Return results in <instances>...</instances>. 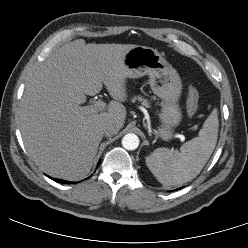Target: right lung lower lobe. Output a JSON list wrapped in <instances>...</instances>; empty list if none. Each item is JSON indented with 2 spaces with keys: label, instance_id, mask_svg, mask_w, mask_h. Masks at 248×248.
<instances>
[{
  "label": "right lung lower lobe",
  "instance_id": "obj_1",
  "mask_svg": "<svg viewBox=\"0 0 248 248\" xmlns=\"http://www.w3.org/2000/svg\"><path fill=\"white\" fill-rule=\"evenodd\" d=\"M99 163H100V161H99ZM99 163H98V165H99ZM50 178H51V177H50ZM51 179H53V180L56 181V182L63 183V184L73 183V182L64 181V180L55 179V178H51Z\"/></svg>",
  "mask_w": 248,
  "mask_h": 248
}]
</instances>
